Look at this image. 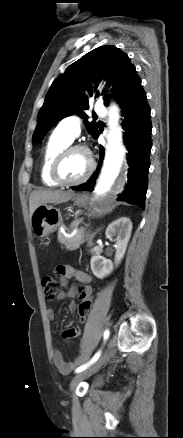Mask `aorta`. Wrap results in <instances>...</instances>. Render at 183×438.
<instances>
[{
  "label": "aorta",
  "instance_id": "1",
  "mask_svg": "<svg viewBox=\"0 0 183 438\" xmlns=\"http://www.w3.org/2000/svg\"><path fill=\"white\" fill-rule=\"evenodd\" d=\"M111 112H113L109 122L111 131L108 134V145L104 166L94 190L98 195L104 194L110 190L119 175L125 155V149L121 142V132L116 127V122L118 120L117 107L112 106Z\"/></svg>",
  "mask_w": 183,
  "mask_h": 438
}]
</instances>
